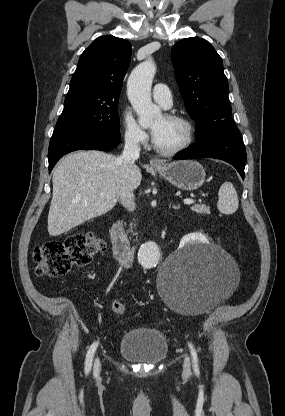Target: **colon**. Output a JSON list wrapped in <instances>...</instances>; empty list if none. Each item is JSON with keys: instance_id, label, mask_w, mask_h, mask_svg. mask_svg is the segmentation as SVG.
Instances as JSON below:
<instances>
[{"instance_id": "5ec220e1", "label": "colon", "mask_w": 285, "mask_h": 416, "mask_svg": "<svg viewBox=\"0 0 285 416\" xmlns=\"http://www.w3.org/2000/svg\"><path fill=\"white\" fill-rule=\"evenodd\" d=\"M103 242L92 233L75 234L63 241H49L34 248L33 257L37 264L36 273L40 276L60 277L73 267L88 265L93 256L103 249ZM111 311L122 317L125 307L115 299Z\"/></svg>"}]
</instances>
